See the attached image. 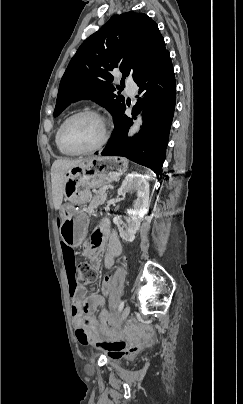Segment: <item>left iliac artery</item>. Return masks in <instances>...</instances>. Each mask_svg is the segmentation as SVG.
<instances>
[{
  "label": "left iliac artery",
  "instance_id": "44dca946",
  "mask_svg": "<svg viewBox=\"0 0 243 404\" xmlns=\"http://www.w3.org/2000/svg\"><path fill=\"white\" fill-rule=\"evenodd\" d=\"M124 304H125V302L122 300V301L120 302V304H119V307H118V311H119V312L122 311V309H123V307H124Z\"/></svg>",
  "mask_w": 243,
  "mask_h": 404
}]
</instances>
